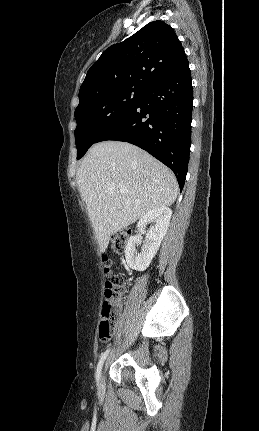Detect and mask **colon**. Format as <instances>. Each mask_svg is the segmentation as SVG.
<instances>
[{
    "mask_svg": "<svg viewBox=\"0 0 259 431\" xmlns=\"http://www.w3.org/2000/svg\"><path fill=\"white\" fill-rule=\"evenodd\" d=\"M129 231L123 230L112 237V249L118 255L125 253ZM102 261L105 273L109 279L105 283V301L101 310V321L99 324V338L103 341L110 339L119 320L120 299L124 294V278L120 274H113V261L103 255Z\"/></svg>",
    "mask_w": 259,
    "mask_h": 431,
    "instance_id": "1",
    "label": "colon"
}]
</instances>
